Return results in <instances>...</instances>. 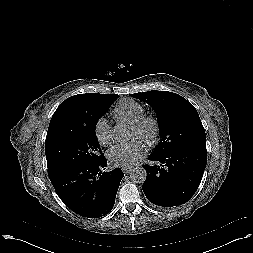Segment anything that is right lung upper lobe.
I'll return each instance as SVG.
<instances>
[{
	"mask_svg": "<svg viewBox=\"0 0 253 253\" xmlns=\"http://www.w3.org/2000/svg\"><path fill=\"white\" fill-rule=\"evenodd\" d=\"M118 95L86 93L67 98L53 114L49 128L62 121H79L91 115L97 108L111 104Z\"/></svg>",
	"mask_w": 253,
	"mask_h": 253,
	"instance_id": "obj_1",
	"label": "right lung upper lobe"
}]
</instances>
